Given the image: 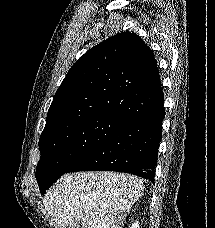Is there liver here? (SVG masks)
I'll list each match as a JSON object with an SVG mask.
<instances>
[{
  "mask_svg": "<svg viewBox=\"0 0 215 228\" xmlns=\"http://www.w3.org/2000/svg\"><path fill=\"white\" fill-rule=\"evenodd\" d=\"M143 190L131 174L75 172L57 180L42 202L58 228H123Z\"/></svg>",
  "mask_w": 215,
  "mask_h": 228,
  "instance_id": "obj_1",
  "label": "liver"
}]
</instances>
